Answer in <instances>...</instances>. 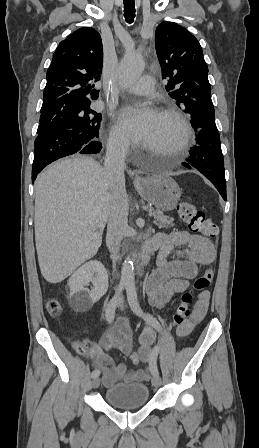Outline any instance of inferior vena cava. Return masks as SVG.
<instances>
[{
    "label": "inferior vena cava",
    "mask_w": 259,
    "mask_h": 448,
    "mask_svg": "<svg viewBox=\"0 0 259 448\" xmlns=\"http://www.w3.org/2000/svg\"><path fill=\"white\" fill-rule=\"evenodd\" d=\"M127 140L111 138L108 142L104 162V180L112 192L111 212L108 220L106 246L112 260H117L121 240L128 230V196L124 188V158L127 154ZM122 302V298H120Z\"/></svg>",
    "instance_id": "inferior-vena-cava-1"
}]
</instances>
